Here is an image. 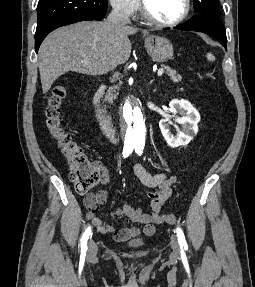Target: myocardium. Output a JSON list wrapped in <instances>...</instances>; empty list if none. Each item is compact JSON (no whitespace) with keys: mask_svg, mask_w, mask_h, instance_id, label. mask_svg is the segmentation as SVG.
Wrapping results in <instances>:
<instances>
[{"mask_svg":"<svg viewBox=\"0 0 255 287\" xmlns=\"http://www.w3.org/2000/svg\"><path fill=\"white\" fill-rule=\"evenodd\" d=\"M144 33H151V32H144ZM169 33H175V32H169ZM130 39H137V38H130ZM145 39H150V38H145ZM165 39H174V38H165ZM130 48H136V47H130ZM150 48V47H146Z\"/></svg>","mask_w":255,"mask_h":287,"instance_id":"myocardium-1","label":"myocardium"}]
</instances>
